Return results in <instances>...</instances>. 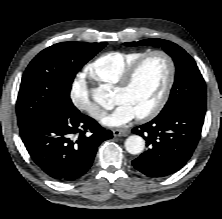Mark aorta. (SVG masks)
<instances>
[{
  "label": "aorta",
  "mask_w": 222,
  "mask_h": 219,
  "mask_svg": "<svg viewBox=\"0 0 222 219\" xmlns=\"http://www.w3.org/2000/svg\"><path fill=\"white\" fill-rule=\"evenodd\" d=\"M109 94L103 88H96L92 92V98L100 105H104L108 100ZM145 141L139 135H131L125 141V149L128 153L136 155L143 152Z\"/></svg>",
  "instance_id": "obj_1"
}]
</instances>
